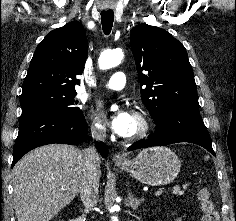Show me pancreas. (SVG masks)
Listing matches in <instances>:
<instances>
[{
    "instance_id": "pancreas-1",
    "label": "pancreas",
    "mask_w": 236,
    "mask_h": 221,
    "mask_svg": "<svg viewBox=\"0 0 236 221\" xmlns=\"http://www.w3.org/2000/svg\"><path fill=\"white\" fill-rule=\"evenodd\" d=\"M173 193L176 194V195H183L184 190H181V188L179 186H177V187L174 188Z\"/></svg>"
}]
</instances>
